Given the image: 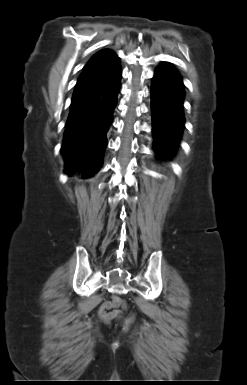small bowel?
<instances>
[{"mask_svg":"<svg viewBox=\"0 0 247 385\" xmlns=\"http://www.w3.org/2000/svg\"><path fill=\"white\" fill-rule=\"evenodd\" d=\"M124 301L118 295H112L109 300L104 301L99 309L98 315L104 322L110 323L121 317L120 307H124Z\"/></svg>","mask_w":247,"mask_h":385,"instance_id":"c3829d8e","label":"small bowel"}]
</instances>
